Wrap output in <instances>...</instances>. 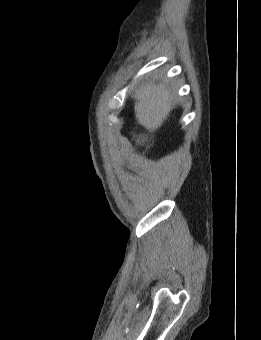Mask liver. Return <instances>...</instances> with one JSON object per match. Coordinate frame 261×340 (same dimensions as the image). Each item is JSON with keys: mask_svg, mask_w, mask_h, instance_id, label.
<instances>
[{"mask_svg": "<svg viewBox=\"0 0 261 340\" xmlns=\"http://www.w3.org/2000/svg\"><path fill=\"white\" fill-rule=\"evenodd\" d=\"M138 102L135 115L139 123L156 131L169 116L174 107L175 97L164 83H147L136 91Z\"/></svg>", "mask_w": 261, "mask_h": 340, "instance_id": "liver-1", "label": "liver"}]
</instances>
